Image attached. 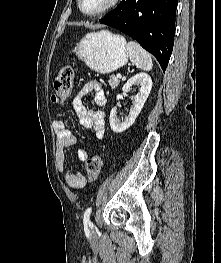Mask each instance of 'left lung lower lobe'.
I'll return each instance as SVG.
<instances>
[{
  "label": "left lung lower lobe",
  "instance_id": "left-lung-lower-lobe-1",
  "mask_svg": "<svg viewBox=\"0 0 221 263\" xmlns=\"http://www.w3.org/2000/svg\"><path fill=\"white\" fill-rule=\"evenodd\" d=\"M177 1L122 0L99 22L136 40L156 57L165 71L174 44Z\"/></svg>",
  "mask_w": 221,
  "mask_h": 263
}]
</instances>
